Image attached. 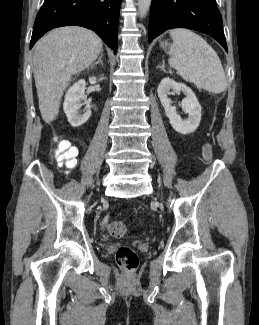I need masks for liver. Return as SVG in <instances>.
<instances>
[{"label": "liver", "mask_w": 259, "mask_h": 325, "mask_svg": "<svg viewBox=\"0 0 259 325\" xmlns=\"http://www.w3.org/2000/svg\"><path fill=\"white\" fill-rule=\"evenodd\" d=\"M101 51V39L78 26L54 29L37 42L34 78L39 109L46 123L57 118L61 97L72 75L88 68Z\"/></svg>", "instance_id": "obj_1"}]
</instances>
